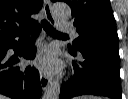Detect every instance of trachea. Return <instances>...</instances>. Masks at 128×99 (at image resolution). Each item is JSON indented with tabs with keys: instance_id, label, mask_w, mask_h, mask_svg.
<instances>
[{
	"instance_id": "trachea-1",
	"label": "trachea",
	"mask_w": 128,
	"mask_h": 99,
	"mask_svg": "<svg viewBox=\"0 0 128 99\" xmlns=\"http://www.w3.org/2000/svg\"><path fill=\"white\" fill-rule=\"evenodd\" d=\"M42 26L47 34L49 35H66L64 33L58 32L48 21L42 20Z\"/></svg>"
}]
</instances>
